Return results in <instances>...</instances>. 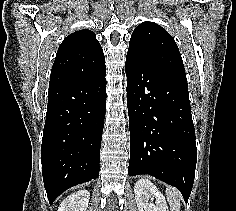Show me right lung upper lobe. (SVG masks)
Returning a JSON list of instances; mask_svg holds the SVG:
<instances>
[{"instance_id": "cb5924a9", "label": "right lung upper lobe", "mask_w": 236, "mask_h": 211, "mask_svg": "<svg viewBox=\"0 0 236 211\" xmlns=\"http://www.w3.org/2000/svg\"><path fill=\"white\" fill-rule=\"evenodd\" d=\"M105 70L103 50L95 33L87 29L75 31L59 46L49 88L78 83Z\"/></svg>"}]
</instances>
